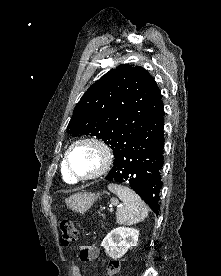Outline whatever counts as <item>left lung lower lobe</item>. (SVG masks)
<instances>
[{"instance_id": "obj_1", "label": "left lung lower lobe", "mask_w": 221, "mask_h": 276, "mask_svg": "<svg viewBox=\"0 0 221 276\" xmlns=\"http://www.w3.org/2000/svg\"><path fill=\"white\" fill-rule=\"evenodd\" d=\"M164 111L145 123L135 137L115 155L106 180L127 184L159 214L162 186Z\"/></svg>"}]
</instances>
